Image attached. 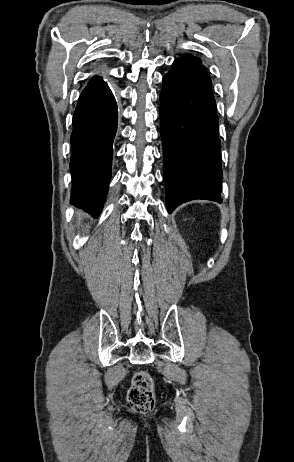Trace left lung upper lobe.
<instances>
[{"instance_id": "left-lung-upper-lobe-1", "label": "left lung upper lobe", "mask_w": 294, "mask_h": 462, "mask_svg": "<svg viewBox=\"0 0 294 462\" xmlns=\"http://www.w3.org/2000/svg\"><path fill=\"white\" fill-rule=\"evenodd\" d=\"M181 58L189 59V60H193V61H197V62H201L200 59H198L197 57H194V56H192V55H189V54L183 55Z\"/></svg>"}]
</instances>
